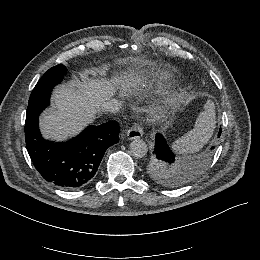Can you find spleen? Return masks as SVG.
<instances>
[{
    "label": "spleen",
    "mask_w": 260,
    "mask_h": 260,
    "mask_svg": "<svg viewBox=\"0 0 260 260\" xmlns=\"http://www.w3.org/2000/svg\"><path fill=\"white\" fill-rule=\"evenodd\" d=\"M204 109L196 118L194 129L174 142L173 148L177 152L196 151L211 137L215 126L214 104L207 101Z\"/></svg>",
    "instance_id": "1"
}]
</instances>
